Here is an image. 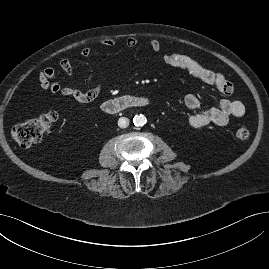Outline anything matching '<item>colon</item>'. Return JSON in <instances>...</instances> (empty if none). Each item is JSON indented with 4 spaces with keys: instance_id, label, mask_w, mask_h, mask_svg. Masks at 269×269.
<instances>
[{
    "instance_id": "5ec220e1",
    "label": "colon",
    "mask_w": 269,
    "mask_h": 269,
    "mask_svg": "<svg viewBox=\"0 0 269 269\" xmlns=\"http://www.w3.org/2000/svg\"><path fill=\"white\" fill-rule=\"evenodd\" d=\"M56 120L55 112L44 113L34 119L15 125L11 130V136L21 147L28 148L39 142L52 129ZM249 135L250 132L245 127H240L236 131V137L240 140H246Z\"/></svg>"
}]
</instances>
